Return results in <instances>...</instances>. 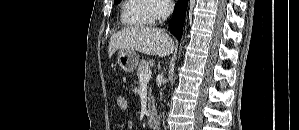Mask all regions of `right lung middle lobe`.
I'll return each instance as SVG.
<instances>
[{
	"label": "right lung middle lobe",
	"mask_w": 299,
	"mask_h": 130,
	"mask_svg": "<svg viewBox=\"0 0 299 130\" xmlns=\"http://www.w3.org/2000/svg\"><path fill=\"white\" fill-rule=\"evenodd\" d=\"M119 2H121V0H118V1L114 2V4H118Z\"/></svg>",
	"instance_id": "obj_1"
}]
</instances>
